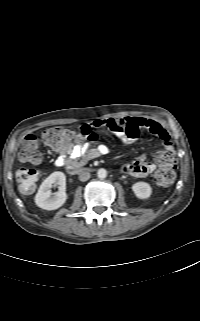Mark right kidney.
<instances>
[{"instance_id":"ca27d5eb","label":"right kidney","mask_w":200,"mask_h":321,"mask_svg":"<svg viewBox=\"0 0 200 321\" xmlns=\"http://www.w3.org/2000/svg\"><path fill=\"white\" fill-rule=\"evenodd\" d=\"M52 187H58L59 191L51 192ZM66 176L62 172H53L40 185L35 196V203L38 207L45 210H56L67 200Z\"/></svg>"}]
</instances>
